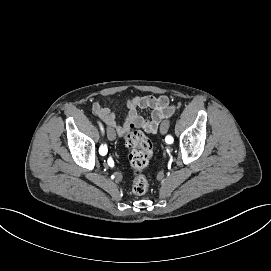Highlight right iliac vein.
<instances>
[{
	"label": "right iliac vein",
	"mask_w": 271,
	"mask_h": 271,
	"mask_svg": "<svg viewBox=\"0 0 271 271\" xmlns=\"http://www.w3.org/2000/svg\"><path fill=\"white\" fill-rule=\"evenodd\" d=\"M107 138L110 141H114L116 139V133L113 128L108 127L107 128Z\"/></svg>",
	"instance_id": "63e3f726"
}]
</instances>
